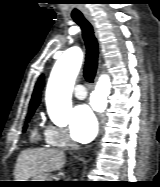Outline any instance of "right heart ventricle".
Returning <instances> with one entry per match:
<instances>
[{"label": "right heart ventricle", "mask_w": 160, "mask_h": 187, "mask_svg": "<svg viewBox=\"0 0 160 187\" xmlns=\"http://www.w3.org/2000/svg\"><path fill=\"white\" fill-rule=\"evenodd\" d=\"M40 139V136H39V134L37 133V131L35 130V131H33L32 132V140L33 141H38Z\"/></svg>", "instance_id": "obj_1"}]
</instances>
